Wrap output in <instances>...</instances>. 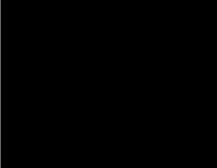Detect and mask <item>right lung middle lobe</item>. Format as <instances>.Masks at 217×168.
<instances>
[{"instance_id":"dd1d6c3e","label":"right lung middle lobe","mask_w":217,"mask_h":168,"mask_svg":"<svg viewBox=\"0 0 217 168\" xmlns=\"http://www.w3.org/2000/svg\"><path fill=\"white\" fill-rule=\"evenodd\" d=\"M76 70H77V55L71 52L66 53V55H64L61 61L59 73L57 75L58 77L54 79L55 80L54 86L56 90H60L59 92H63L61 90H65V88H67L68 86L67 84H70L69 82H71L75 77Z\"/></svg>"}]
</instances>
